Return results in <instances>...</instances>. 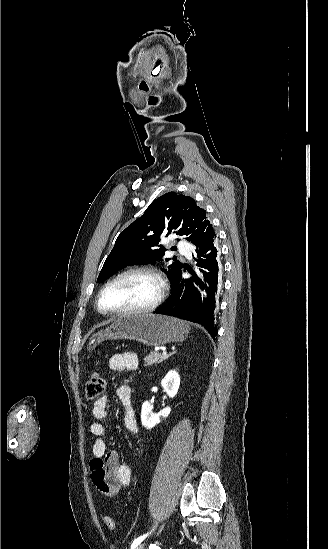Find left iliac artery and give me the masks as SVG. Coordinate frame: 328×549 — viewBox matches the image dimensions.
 <instances>
[{"instance_id": "obj_1", "label": "left iliac artery", "mask_w": 328, "mask_h": 549, "mask_svg": "<svg viewBox=\"0 0 328 549\" xmlns=\"http://www.w3.org/2000/svg\"><path fill=\"white\" fill-rule=\"evenodd\" d=\"M147 536H148V533L136 538L131 545V549H135V547L138 546Z\"/></svg>"}]
</instances>
